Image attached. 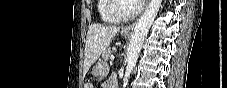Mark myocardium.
<instances>
[{
	"instance_id": "f54148a6",
	"label": "myocardium",
	"mask_w": 227,
	"mask_h": 88,
	"mask_svg": "<svg viewBox=\"0 0 227 88\" xmlns=\"http://www.w3.org/2000/svg\"><path fill=\"white\" fill-rule=\"evenodd\" d=\"M122 1H132V0H110L109 2V12L117 21H127L129 19L135 18L139 15L142 8L141 6H135V9L129 14H123L119 11V3Z\"/></svg>"
}]
</instances>
